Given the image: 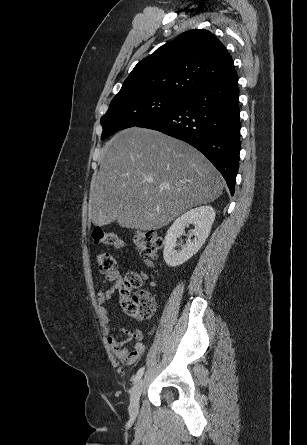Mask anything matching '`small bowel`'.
<instances>
[{"label": "small bowel", "mask_w": 307, "mask_h": 445, "mask_svg": "<svg viewBox=\"0 0 307 445\" xmlns=\"http://www.w3.org/2000/svg\"><path fill=\"white\" fill-rule=\"evenodd\" d=\"M123 280L124 279L121 273L117 270L108 272L103 278H99L97 280L96 287L98 290L97 299L100 304L99 311L102 321L107 325L112 323V319L109 311L105 307V304L111 297L114 290L120 287ZM108 284L113 285L110 288H106ZM121 333L124 335L123 338L116 335H110L107 338V342L116 357H118L125 364H133L141 357L145 350V347L141 342L143 337L142 332L136 329L133 331L121 330ZM132 341L134 343L131 346H128V344Z\"/></svg>", "instance_id": "small-bowel-1"}]
</instances>
